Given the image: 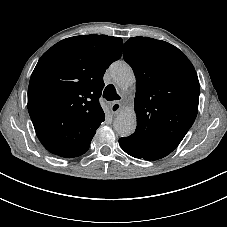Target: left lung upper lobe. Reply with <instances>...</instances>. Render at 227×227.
Here are the masks:
<instances>
[{
  "mask_svg": "<svg viewBox=\"0 0 227 227\" xmlns=\"http://www.w3.org/2000/svg\"><path fill=\"white\" fill-rule=\"evenodd\" d=\"M123 57L137 81L132 136L172 152L198 112L200 88L192 63L172 44L142 36L124 44Z\"/></svg>",
  "mask_w": 227,
  "mask_h": 227,
  "instance_id": "5c2ea615",
  "label": "left lung upper lobe"
}]
</instances>
